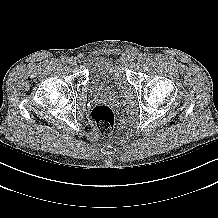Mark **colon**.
I'll list each match as a JSON object with an SVG mask.
<instances>
[{"mask_svg":"<svg viewBox=\"0 0 218 218\" xmlns=\"http://www.w3.org/2000/svg\"><path fill=\"white\" fill-rule=\"evenodd\" d=\"M91 120L101 135L108 136L113 130L115 115L109 106L97 105L91 111Z\"/></svg>","mask_w":218,"mask_h":218,"instance_id":"obj_1","label":"colon"}]
</instances>
